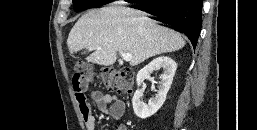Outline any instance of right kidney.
Listing matches in <instances>:
<instances>
[{
    "label": "right kidney",
    "mask_w": 257,
    "mask_h": 130,
    "mask_svg": "<svg viewBox=\"0 0 257 130\" xmlns=\"http://www.w3.org/2000/svg\"><path fill=\"white\" fill-rule=\"evenodd\" d=\"M162 68L163 73L160 75V86L155 98H151L148 104L142 101L143 91L139 89L141 83L150 77L154 70ZM177 64L167 56H161L152 60L147 66L141 69L137 74L138 89L132 98L133 110L136 116L141 119L148 118L155 114L166 100V95L171 87Z\"/></svg>",
    "instance_id": "right-kidney-1"
}]
</instances>
